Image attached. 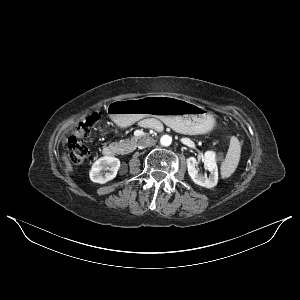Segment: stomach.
Listing matches in <instances>:
<instances>
[{"mask_svg": "<svg viewBox=\"0 0 300 300\" xmlns=\"http://www.w3.org/2000/svg\"><path fill=\"white\" fill-rule=\"evenodd\" d=\"M114 123L127 127L145 117H155L185 134H207L216 125L214 115L203 107L173 96L150 95L116 100L107 107Z\"/></svg>", "mask_w": 300, "mask_h": 300, "instance_id": "stomach-1", "label": "stomach"}]
</instances>
